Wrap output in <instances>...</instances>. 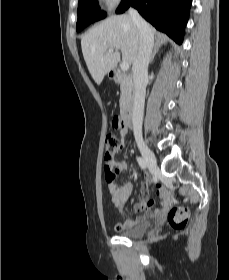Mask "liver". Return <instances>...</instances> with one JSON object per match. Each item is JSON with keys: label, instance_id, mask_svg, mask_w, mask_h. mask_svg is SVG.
Here are the masks:
<instances>
[{"label": "liver", "instance_id": "liver-1", "mask_svg": "<svg viewBox=\"0 0 229 280\" xmlns=\"http://www.w3.org/2000/svg\"><path fill=\"white\" fill-rule=\"evenodd\" d=\"M153 38L156 31L149 26ZM165 41L158 39L160 45ZM139 31L130 15L110 16L92 27L81 39V48L88 70L100 85L104 76L113 70L120 61L134 62L139 51ZM112 49L113 52L108 51Z\"/></svg>", "mask_w": 229, "mask_h": 280}]
</instances>
